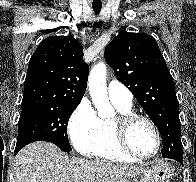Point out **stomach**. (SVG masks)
<instances>
[{
	"mask_svg": "<svg viewBox=\"0 0 196 182\" xmlns=\"http://www.w3.org/2000/svg\"><path fill=\"white\" fill-rule=\"evenodd\" d=\"M171 174L170 164L154 161L145 168L138 169L125 182H167Z\"/></svg>",
	"mask_w": 196,
	"mask_h": 182,
	"instance_id": "0dacf381",
	"label": "stomach"
}]
</instances>
